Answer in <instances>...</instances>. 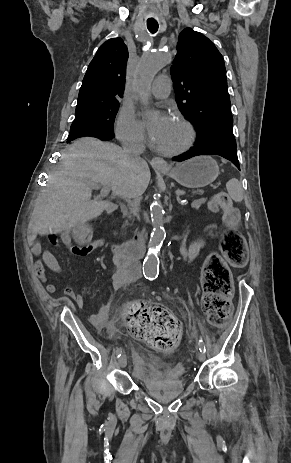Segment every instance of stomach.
Returning <instances> with one entry per match:
<instances>
[{
  "instance_id": "stomach-1",
  "label": "stomach",
  "mask_w": 291,
  "mask_h": 463,
  "mask_svg": "<svg viewBox=\"0 0 291 463\" xmlns=\"http://www.w3.org/2000/svg\"><path fill=\"white\" fill-rule=\"evenodd\" d=\"M162 171L188 188L205 187L219 175V167L210 156H197L174 168H164Z\"/></svg>"
}]
</instances>
